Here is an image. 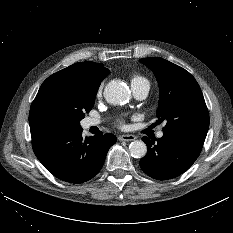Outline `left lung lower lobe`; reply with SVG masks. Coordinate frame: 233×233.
Returning a JSON list of instances; mask_svg holds the SVG:
<instances>
[{
	"mask_svg": "<svg viewBox=\"0 0 233 233\" xmlns=\"http://www.w3.org/2000/svg\"><path fill=\"white\" fill-rule=\"evenodd\" d=\"M207 132L176 130L164 132L159 139L143 137L147 154L140 160V167L148 176L168 180L184 173L199 156Z\"/></svg>",
	"mask_w": 233,
	"mask_h": 233,
	"instance_id": "0a47b994",
	"label": "left lung lower lobe"
}]
</instances>
